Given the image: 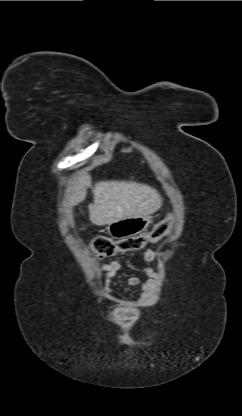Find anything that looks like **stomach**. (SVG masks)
<instances>
[{"label":"stomach","instance_id":"0dacf381","mask_svg":"<svg viewBox=\"0 0 242 416\" xmlns=\"http://www.w3.org/2000/svg\"><path fill=\"white\" fill-rule=\"evenodd\" d=\"M152 223L151 216H139L121 219L108 224L107 232L115 239H125L145 231Z\"/></svg>","mask_w":242,"mask_h":416}]
</instances>
